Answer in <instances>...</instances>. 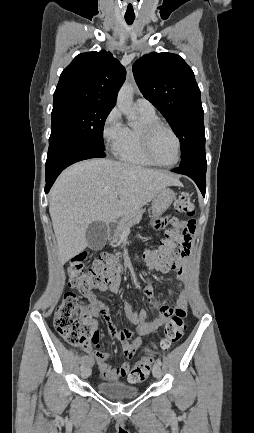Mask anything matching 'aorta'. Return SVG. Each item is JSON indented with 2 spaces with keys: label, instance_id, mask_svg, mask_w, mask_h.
Instances as JSON below:
<instances>
[{
  "label": "aorta",
  "instance_id": "obj_1",
  "mask_svg": "<svg viewBox=\"0 0 254 433\" xmlns=\"http://www.w3.org/2000/svg\"><path fill=\"white\" fill-rule=\"evenodd\" d=\"M133 92H134L133 85L125 83L120 89L117 96L118 108L130 120L135 119V111L133 108Z\"/></svg>",
  "mask_w": 254,
  "mask_h": 433
}]
</instances>
